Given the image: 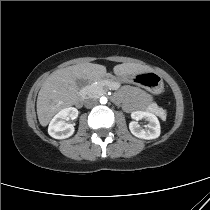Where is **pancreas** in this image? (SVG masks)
<instances>
[{
	"mask_svg": "<svg viewBox=\"0 0 210 210\" xmlns=\"http://www.w3.org/2000/svg\"><path fill=\"white\" fill-rule=\"evenodd\" d=\"M108 85L112 88H118V83L109 82ZM105 93V86L103 83L92 84L88 87V96L90 97H99ZM148 109L151 111H157L159 108L157 105H150Z\"/></svg>",
	"mask_w": 210,
	"mask_h": 210,
	"instance_id": "pancreas-1",
	"label": "pancreas"
}]
</instances>
